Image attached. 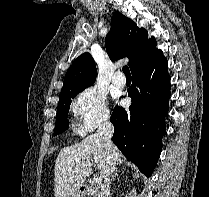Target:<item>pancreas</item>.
<instances>
[{
    "instance_id": "obj_1",
    "label": "pancreas",
    "mask_w": 209,
    "mask_h": 197,
    "mask_svg": "<svg viewBox=\"0 0 209 197\" xmlns=\"http://www.w3.org/2000/svg\"><path fill=\"white\" fill-rule=\"evenodd\" d=\"M89 191L94 197H99V187L95 184H92L89 188Z\"/></svg>"
}]
</instances>
